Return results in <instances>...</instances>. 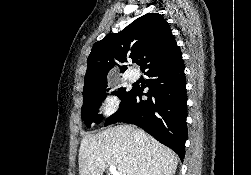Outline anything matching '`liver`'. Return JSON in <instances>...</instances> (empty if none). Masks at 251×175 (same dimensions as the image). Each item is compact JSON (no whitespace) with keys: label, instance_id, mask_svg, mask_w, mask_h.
Listing matches in <instances>:
<instances>
[{"label":"liver","instance_id":"liver-1","mask_svg":"<svg viewBox=\"0 0 251 175\" xmlns=\"http://www.w3.org/2000/svg\"><path fill=\"white\" fill-rule=\"evenodd\" d=\"M78 157L80 175H102L109 165L122 175H174L178 165L172 149L132 125L84 135Z\"/></svg>","mask_w":251,"mask_h":175}]
</instances>
